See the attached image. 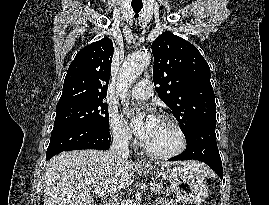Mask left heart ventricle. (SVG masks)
<instances>
[{"label":"left heart ventricle","mask_w":269,"mask_h":205,"mask_svg":"<svg viewBox=\"0 0 269 205\" xmlns=\"http://www.w3.org/2000/svg\"><path fill=\"white\" fill-rule=\"evenodd\" d=\"M144 144L155 152H169L179 146V137L169 122L159 119L152 135Z\"/></svg>","instance_id":"left-heart-ventricle-1"}]
</instances>
